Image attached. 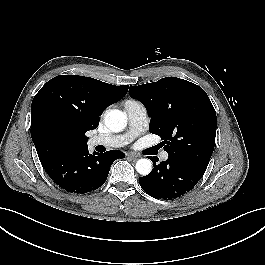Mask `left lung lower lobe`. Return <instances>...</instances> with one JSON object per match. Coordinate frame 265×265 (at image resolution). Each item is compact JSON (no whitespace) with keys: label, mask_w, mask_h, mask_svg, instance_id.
<instances>
[{"label":"left lung lower lobe","mask_w":265,"mask_h":265,"mask_svg":"<svg viewBox=\"0 0 265 265\" xmlns=\"http://www.w3.org/2000/svg\"><path fill=\"white\" fill-rule=\"evenodd\" d=\"M153 171L139 178L141 188L154 198L173 199L189 192L202 178L205 171L191 164L171 158L156 164V156L149 157Z\"/></svg>","instance_id":"obj_1"}]
</instances>
